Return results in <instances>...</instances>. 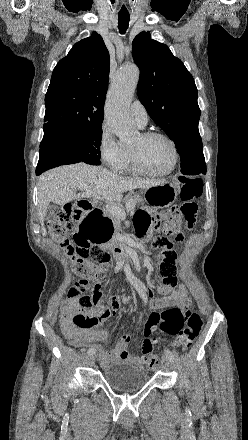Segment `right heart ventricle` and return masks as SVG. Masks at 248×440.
<instances>
[{
	"label": "right heart ventricle",
	"mask_w": 248,
	"mask_h": 440,
	"mask_svg": "<svg viewBox=\"0 0 248 440\" xmlns=\"http://www.w3.org/2000/svg\"><path fill=\"white\" fill-rule=\"evenodd\" d=\"M125 149H126V159H125V162L123 163V165L120 167L119 171H121V172H133L135 170H134V168L132 166L130 148H125Z\"/></svg>",
	"instance_id": "e07e8e85"
}]
</instances>
